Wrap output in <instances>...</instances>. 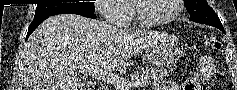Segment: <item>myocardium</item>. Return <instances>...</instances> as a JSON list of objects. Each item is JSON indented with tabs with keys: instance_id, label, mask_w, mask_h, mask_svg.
<instances>
[{
	"instance_id": "f54148a6",
	"label": "myocardium",
	"mask_w": 237,
	"mask_h": 90,
	"mask_svg": "<svg viewBox=\"0 0 237 90\" xmlns=\"http://www.w3.org/2000/svg\"><path fill=\"white\" fill-rule=\"evenodd\" d=\"M138 1H147V0H138ZM185 2L186 0H173L172 1L173 10L168 16L158 20L151 21L146 20L140 15L137 7V1H130L133 17L136 21V28H157L159 26L174 22L175 20L178 19V17L181 15L184 9V6L181 3Z\"/></svg>"
}]
</instances>
